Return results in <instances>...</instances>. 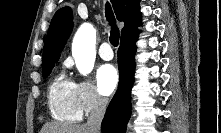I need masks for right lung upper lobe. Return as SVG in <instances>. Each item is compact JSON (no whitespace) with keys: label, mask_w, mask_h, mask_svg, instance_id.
<instances>
[{"label":"right lung upper lobe","mask_w":221,"mask_h":133,"mask_svg":"<svg viewBox=\"0 0 221 133\" xmlns=\"http://www.w3.org/2000/svg\"><path fill=\"white\" fill-rule=\"evenodd\" d=\"M111 2L117 19L125 24L121 31V38L139 31L137 29L141 24L139 0H111ZM72 19V11L69 7H64L55 13L44 44L43 66L58 61L72 31Z\"/></svg>","instance_id":"cb5924a9"}]
</instances>
